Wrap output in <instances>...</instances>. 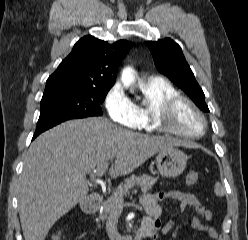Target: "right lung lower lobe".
<instances>
[{
  "label": "right lung lower lobe",
  "instance_id": "98d812e1",
  "mask_svg": "<svg viewBox=\"0 0 248 240\" xmlns=\"http://www.w3.org/2000/svg\"><path fill=\"white\" fill-rule=\"evenodd\" d=\"M64 121H66V120L52 119V120L38 121L37 128H36L35 134L33 136V139L36 138L42 132H44V131L48 130L49 128H52L53 126L60 124L61 122H64Z\"/></svg>",
  "mask_w": 248,
  "mask_h": 240
}]
</instances>
